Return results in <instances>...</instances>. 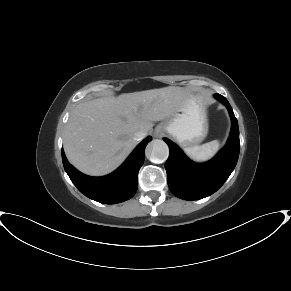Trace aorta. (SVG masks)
I'll return each instance as SVG.
<instances>
[{
	"mask_svg": "<svg viewBox=\"0 0 291 291\" xmlns=\"http://www.w3.org/2000/svg\"><path fill=\"white\" fill-rule=\"evenodd\" d=\"M147 151L153 163H163L169 156L168 145L160 139L153 140L148 145Z\"/></svg>",
	"mask_w": 291,
	"mask_h": 291,
	"instance_id": "aorta-1",
	"label": "aorta"
}]
</instances>
